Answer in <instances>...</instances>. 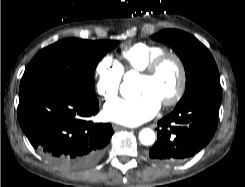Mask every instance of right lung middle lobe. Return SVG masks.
Returning <instances> with one entry per match:
<instances>
[{
	"label": "right lung middle lobe",
	"mask_w": 245,
	"mask_h": 187,
	"mask_svg": "<svg viewBox=\"0 0 245 187\" xmlns=\"http://www.w3.org/2000/svg\"><path fill=\"white\" fill-rule=\"evenodd\" d=\"M117 44V41H87L76 38L54 43L42 49L29 63L19 92L42 85H55L96 98V66Z\"/></svg>",
	"instance_id": "dd1d6c3e"
}]
</instances>
